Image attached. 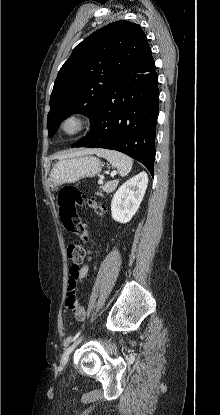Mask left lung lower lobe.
Wrapping results in <instances>:
<instances>
[{"label":"left lung lower lobe","instance_id":"1","mask_svg":"<svg viewBox=\"0 0 220 415\" xmlns=\"http://www.w3.org/2000/svg\"><path fill=\"white\" fill-rule=\"evenodd\" d=\"M158 76L152 58L142 69L121 75L90 121L91 131L72 147L120 151L154 173Z\"/></svg>","mask_w":220,"mask_h":415}]
</instances>
